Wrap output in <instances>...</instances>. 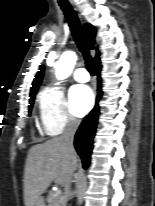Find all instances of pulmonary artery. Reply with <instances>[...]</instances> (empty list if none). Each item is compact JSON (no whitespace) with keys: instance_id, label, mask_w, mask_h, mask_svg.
<instances>
[{"instance_id":"obj_1","label":"pulmonary artery","mask_w":155,"mask_h":206,"mask_svg":"<svg viewBox=\"0 0 155 206\" xmlns=\"http://www.w3.org/2000/svg\"><path fill=\"white\" fill-rule=\"evenodd\" d=\"M74 79L77 81V82H81V83H84V82H88L89 79H90V76L87 72V70L83 67L81 68H78L75 72H74Z\"/></svg>"}]
</instances>
